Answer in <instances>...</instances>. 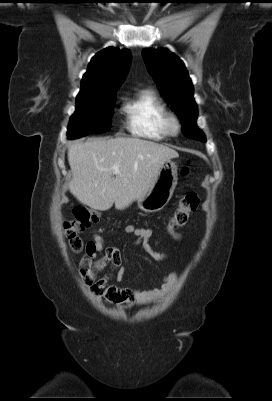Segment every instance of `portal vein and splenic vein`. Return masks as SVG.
I'll use <instances>...</instances> for the list:
<instances>
[{
  "instance_id": "portal-vein-and-splenic-vein-1",
  "label": "portal vein and splenic vein",
  "mask_w": 272,
  "mask_h": 401,
  "mask_svg": "<svg viewBox=\"0 0 272 401\" xmlns=\"http://www.w3.org/2000/svg\"><path fill=\"white\" fill-rule=\"evenodd\" d=\"M112 170H113V172L114 173H120V170H119V166L118 165H114L113 167H112Z\"/></svg>"
}]
</instances>
